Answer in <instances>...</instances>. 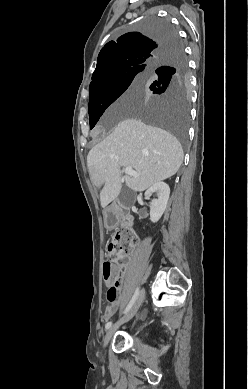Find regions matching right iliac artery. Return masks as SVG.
Listing matches in <instances>:
<instances>
[{
    "label": "right iliac artery",
    "mask_w": 248,
    "mask_h": 389,
    "mask_svg": "<svg viewBox=\"0 0 248 389\" xmlns=\"http://www.w3.org/2000/svg\"><path fill=\"white\" fill-rule=\"evenodd\" d=\"M138 294H139V288L136 289L132 299L130 300L129 304L127 305L126 309L124 310V314H126L131 309V307L133 306V304L135 303V301L137 299ZM111 325H112V322H108L105 325V328L109 329L111 327Z\"/></svg>",
    "instance_id": "82829eb1"
}]
</instances>
